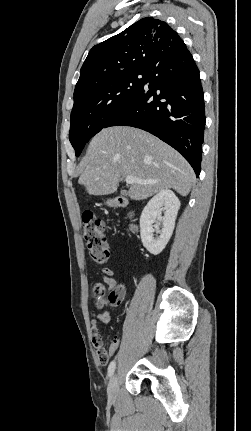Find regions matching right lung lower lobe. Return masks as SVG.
<instances>
[{
	"label": "right lung lower lobe",
	"mask_w": 251,
	"mask_h": 431,
	"mask_svg": "<svg viewBox=\"0 0 251 431\" xmlns=\"http://www.w3.org/2000/svg\"><path fill=\"white\" fill-rule=\"evenodd\" d=\"M203 99L191 53L186 46L169 49L147 66L141 90L104 128L125 125L150 132L175 148L198 177L206 121Z\"/></svg>",
	"instance_id": "right-lung-lower-lobe-1"
}]
</instances>
